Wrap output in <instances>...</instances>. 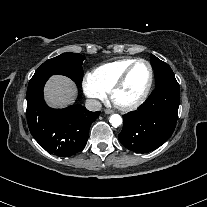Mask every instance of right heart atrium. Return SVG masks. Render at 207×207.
I'll return each mask as SVG.
<instances>
[{"label":"right heart atrium","mask_w":207,"mask_h":207,"mask_svg":"<svg viewBox=\"0 0 207 207\" xmlns=\"http://www.w3.org/2000/svg\"><path fill=\"white\" fill-rule=\"evenodd\" d=\"M82 85L85 93L91 99L103 100L105 98L106 92L96 84L91 75H87L83 79Z\"/></svg>","instance_id":"d8ad5b80"}]
</instances>
